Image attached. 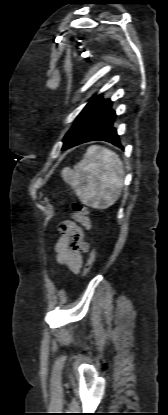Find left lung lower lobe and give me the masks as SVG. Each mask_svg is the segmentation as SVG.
I'll use <instances>...</instances> for the list:
<instances>
[{"mask_svg": "<svg viewBox=\"0 0 168 415\" xmlns=\"http://www.w3.org/2000/svg\"><path fill=\"white\" fill-rule=\"evenodd\" d=\"M116 113L112 110V102L100 112L91 122L88 128L75 141L73 146L95 140L107 141L123 148L119 141L116 129L113 127ZM72 146V147H73Z\"/></svg>", "mask_w": 168, "mask_h": 415, "instance_id": "obj_1", "label": "left lung lower lobe"}]
</instances>
